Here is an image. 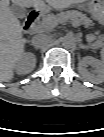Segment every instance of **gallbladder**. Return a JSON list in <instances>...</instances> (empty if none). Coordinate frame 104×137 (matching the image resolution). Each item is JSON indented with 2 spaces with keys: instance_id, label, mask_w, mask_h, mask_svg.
Masks as SVG:
<instances>
[{
  "instance_id": "1",
  "label": "gallbladder",
  "mask_w": 104,
  "mask_h": 137,
  "mask_svg": "<svg viewBox=\"0 0 104 137\" xmlns=\"http://www.w3.org/2000/svg\"><path fill=\"white\" fill-rule=\"evenodd\" d=\"M10 9L13 14L18 18H24L27 14V10L24 7L13 5Z\"/></svg>"
}]
</instances>
